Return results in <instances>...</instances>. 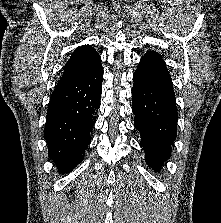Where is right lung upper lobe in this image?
I'll use <instances>...</instances> for the list:
<instances>
[{
    "label": "right lung upper lobe",
    "instance_id": "cb5924a9",
    "mask_svg": "<svg viewBox=\"0 0 221 223\" xmlns=\"http://www.w3.org/2000/svg\"><path fill=\"white\" fill-rule=\"evenodd\" d=\"M101 65V58L90 45L77 48L67 61L57 86L77 81Z\"/></svg>",
    "mask_w": 221,
    "mask_h": 223
}]
</instances>
